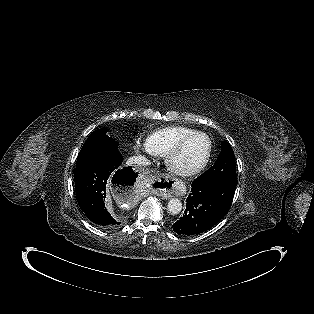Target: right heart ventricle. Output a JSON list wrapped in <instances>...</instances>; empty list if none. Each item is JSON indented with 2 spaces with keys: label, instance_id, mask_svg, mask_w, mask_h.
<instances>
[{
  "label": "right heart ventricle",
  "instance_id": "1",
  "mask_svg": "<svg viewBox=\"0 0 314 314\" xmlns=\"http://www.w3.org/2000/svg\"><path fill=\"white\" fill-rule=\"evenodd\" d=\"M196 132L184 126H171L152 132L146 143L154 156H166L184 137Z\"/></svg>",
  "mask_w": 314,
  "mask_h": 314
}]
</instances>
